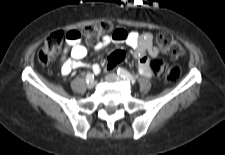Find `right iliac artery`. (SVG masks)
<instances>
[{
	"label": "right iliac artery",
	"mask_w": 225,
	"mask_h": 155,
	"mask_svg": "<svg viewBox=\"0 0 225 155\" xmlns=\"http://www.w3.org/2000/svg\"><path fill=\"white\" fill-rule=\"evenodd\" d=\"M92 80H94V75L92 73H88L86 75V81H87V83L90 82V81H92Z\"/></svg>",
	"instance_id": "1"
}]
</instances>
